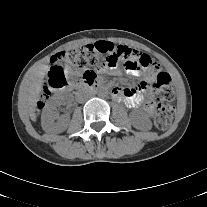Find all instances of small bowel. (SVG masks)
Wrapping results in <instances>:
<instances>
[{
  "label": "small bowel",
  "instance_id": "c3829d8e",
  "mask_svg": "<svg viewBox=\"0 0 207 207\" xmlns=\"http://www.w3.org/2000/svg\"><path fill=\"white\" fill-rule=\"evenodd\" d=\"M157 69L158 67L156 70ZM125 70L128 74L133 76H139L143 74L141 68L134 66L125 67ZM109 72L113 75L120 74V70L116 68L109 69ZM112 95L115 100L124 102L130 108H136L143 102H146V112L150 115L153 113V102L150 84L146 81L141 82L136 88L115 87L112 90Z\"/></svg>",
  "mask_w": 207,
  "mask_h": 207
}]
</instances>
